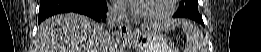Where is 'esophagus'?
<instances>
[{
    "instance_id": "obj_1",
    "label": "esophagus",
    "mask_w": 261,
    "mask_h": 52,
    "mask_svg": "<svg viewBox=\"0 0 261 52\" xmlns=\"http://www.w3.org/2000/svg\"><path fill=\"white\" fill-rule=\"evenodd\" d=\"M119 33L122 37L127 38L133 35V29L129 24H122L119 27Z\"/></svg>"
}]
</instances>
